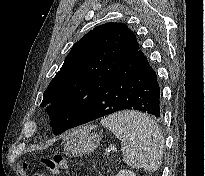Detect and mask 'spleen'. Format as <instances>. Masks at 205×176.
I'll return each mask as SVG.
<instances>
[{
  "mask_svg": "<svg viewBox=\"0 0 205 176\" xmlns=\"http://www.w3.org/2000/svg\"><path fill=\"white\" fill-rule=\"evenodd\" d=\"M121 141L123 161L148 172L159 169L163 159L164 138L157 124L138 111H122L101 121Z\"/></svg>",
  "mask_w": 205,
  "mask_h": 176,
  "instance_id": "3e777b00",
  "label": "spleen"
}]
</instances>
